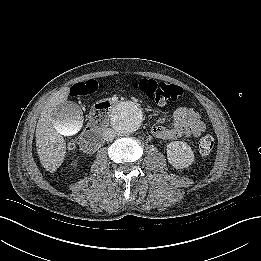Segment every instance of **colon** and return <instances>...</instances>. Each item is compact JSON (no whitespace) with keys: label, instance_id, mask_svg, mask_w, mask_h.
Instances as JSON below:
<instances>
[{"label":"colon","instance_id":"1","mask_svg":"<svg viewBox=\"0 0 261 261\" xmlns=\"http://www.w3.org/2000/svg\"><path fill=\"white\" fill-rule=\"evenodd\" d=\"M101 85L94 81H86L75 85L72 89L73 96L89 95L97 91ZM132 89L139 91L147 98L151 99L157 104H164L169 101H176L183 95L181 87L168 84L164 82H157L153 79L136 80L131 85ZM111 109V104L108 101H101L93 106L90 112L91 120L99 123L104 121ZM214 146V138L211 135L203 136L199 141V150L203 154H208L212 151ZM77 148L76 142L69 143V149L75 150Z\"/></svg>","mask_w":261,"mask_h":261}]
</instances>
